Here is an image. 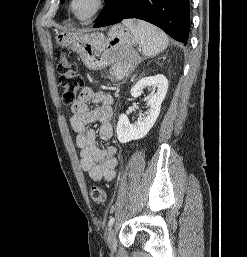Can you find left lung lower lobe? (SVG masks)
Wrapping results in <instances>:
<instances>
[{"instance_id": "left-lung-lower-lobe-1", "label": "left lung lower lobe", "mask_w": 247, "mask_h": 257, "mask_svg": "<svg viewBox=\"0 0 247 257\" xmlns=\"http://www.w3.org/2000/svg\"><path fill=\"white\" fill-rule=\"evenodd\" d=\"M127 18L150 22L173 39L187 44L190 29L189 0H107L94 28Z\"/></svg>"}]
</instances>
